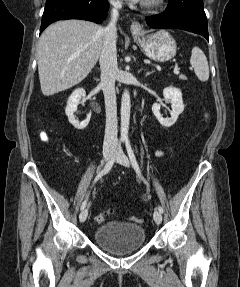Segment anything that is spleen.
Returning <instances> with one entry per match:
<instances>
[{"instance_id":"3e777b00","label":"spleen","mask_w":240,"mask_h":287,"mask_svg":"<svg viewBox=\"0 0 240 287\" xmlns=\"http://www.w3.org/2000/svg\"><path fill=\"white\" fill-rule=\"evenodd\" d=\"M190 64L200 81L205 82L209 79L208 61L204 52L199 47L192 49Z\"/></svg>"}]
</instances>
